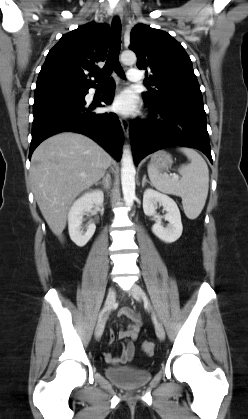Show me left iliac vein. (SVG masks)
Here are the masks:
<instances>
[{"instance_id":"obj_1","label":"left iliac vein","mask_w":248,"mask_h":419,"mask_svg":"<svg viewBox=\"0 0 248 419\" xmlns=\"http://www.w3.org/2000/svg\"><path fill=\"white\" fill-rule=\"evenodd\" d=\"M129 293L132 295V297L134 299L142 300L146 304L148 310L151 311V313L153 314L154 320H155L156 335L160 340H164L165 339L164 328H163V326L160 322L156 321L154 310H153V308H152V306L149 302V299H148L147 295L143 291V289L140 286L134 284L130 288Z\"/></svg>"}]
</instances>
